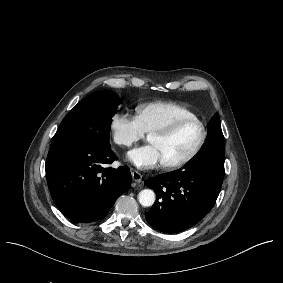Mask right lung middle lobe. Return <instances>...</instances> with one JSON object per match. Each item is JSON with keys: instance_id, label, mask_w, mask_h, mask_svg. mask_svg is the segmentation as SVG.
<instances>
[{"instance_id": "dd1d6c3e", "label": "right lung middle lobe", "mask_w": 283, "mask_h": 283, "mask_svg": "<svg viewBox=\"0 0 283 283\" xmlns=\"http://www.w3.org/2000/svg\"><path fill=\"white\" fill-rule=\"evenodd\" d=\"M119 103L118 95L109 90L87 96L65 116L51 144L81 142L110 148V127Z\"/></svg>"}]
</instances>
